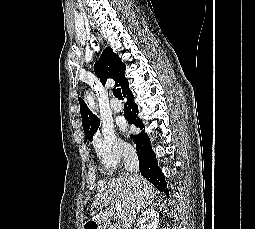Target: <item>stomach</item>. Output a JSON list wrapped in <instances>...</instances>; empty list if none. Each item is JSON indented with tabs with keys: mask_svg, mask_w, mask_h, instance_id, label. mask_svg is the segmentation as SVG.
I'll return each mask as SVG.
<instances>
[{
	"mask_svg": "<svg viewBox=\"0 0 255 229\" xmlns=\"http://www.w3.org/2000/svg\"><path fill=\"white\" fill-rule=\"evenodd\" d=\"M93 223H94V226H95L96 229H104L101 225H99L95 222H93Z\"/></svg>",
	"mask_w": 255,
	"mask_h": 229,
	"instance_id": "0dacf381",
	"label": "stomach"
}]
</instances>
